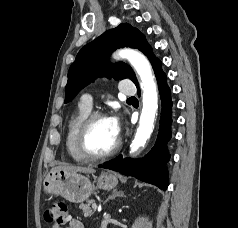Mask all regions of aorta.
Masks as SVG:
<instances>
[{
  "mask_svg": "<svg viewBox=\"0 0 238 228\" xmlns=\"http://www.w3.org/2000/svg\"><path fill=\"white\" fill-rule=\"evenodd\" d=\"M114 57L128 60L140 78V86L143 92V106L139 119V127L130 145V153H135L140 147L145 145L154 129L155 116L158 109L157 84L150 62L139 51L121 49L114 54Z\"/></svg>",
  "mask_w": 238,
  "mask_h": 228,
  "instance_id": "obj_1",
  "label": "aorta"
}]
</instances>
